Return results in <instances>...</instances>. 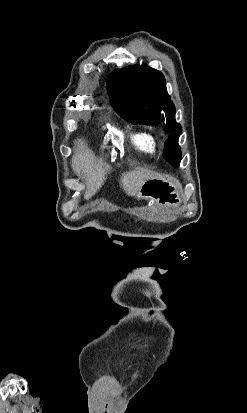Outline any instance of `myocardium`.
<instances>
[{"instance_id": "obj_1", "label": "myocardium", "mask_w": 247, "mask_h": 413, "mask_svg": "<svg viewBox=\"0 0 247 413\" xmlns=\"http://www.w3.org/2000/svg\"><path fill=\"white\" fill-rule=\"evenodd\" d=\"M152 141H153L154 145L158 143L157 139L152 138Z\"/></svg>"}]
</instances>
